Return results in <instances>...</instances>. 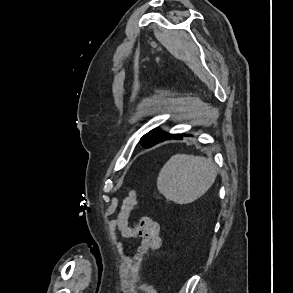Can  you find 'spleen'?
Segmentation results:
<instances>
[{
    "label": "spleen",
    "mask_w": 293,
    "mask_h": 293,
    "mask_svg": "<svg viewBox=\"0 0 293 293\" xmlns=\"http://www.w3.org/2000/svg\"><path fill=\"white\" fill-rule=\"evenodd\" d=\"M216 176L217 167L211 158L176 154L160 171L157 188L167 200L189 204L207 192Z\"/></svg>",
    "instance_id": "obj_1"
}]
</instances>
